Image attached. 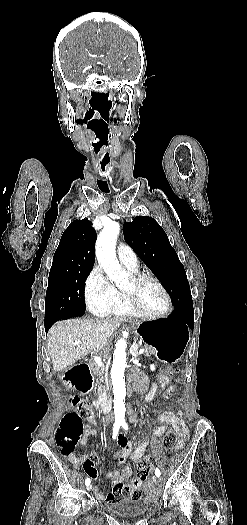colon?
Returning a JSON list of instances; mask_svg holds the SVG:
<instances>
[{"instance_id": "obj_1", "label": "colon", "mask_w": 247, "mask_h": 525, "mask_svg": "<svg viewBox=\"0 0 247 525\" xmlns=\"http://www.w3.org/2000/svg\"><path fill=\"white\" fill-rule=\"evenodd\" d=\"M172 373H176V370H165L163 374L156 377V386L159 388L157 395L159 397H163L165 392H167L168 387L165 384H167L172 377ZM71 400L74 411L64 416L55 435L56 444L63 456H71L74 453L77 444L86 430V422L87 424H91V421H87L90 417L88 403L82 400L79 396H73ZM157 403H160V400H157ZM153 408H156V405H153ZM148 412H151V409H148ZM176 443L177 434L175 430L169 426L161 441V448L165 451H169ZM154 458L156 459L157 456H148L139 463L136 474L137 481L144 482L149 476Z\"/></svg>"}]
</instances>
